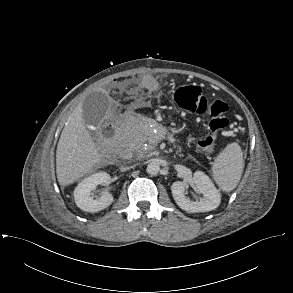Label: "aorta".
Here are the masks:
<instances>
[{
    "label": "aorta",
    "mask_w": 293,
    "mask_h": 293,
    "mask_svg": "<svg viewBox=\"0 0 293 293\" xmlns=\"http://www.w3.org/2000/svg\"><path fill=\"white\" fill-rule=\"evenodd\" d=\"M146 171L150 175H157L160 172V165L159 163L152 161L147 165Z\"/></svg>",
    "instance_id": "1"
}]
</instances>
